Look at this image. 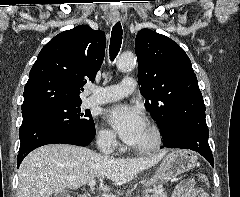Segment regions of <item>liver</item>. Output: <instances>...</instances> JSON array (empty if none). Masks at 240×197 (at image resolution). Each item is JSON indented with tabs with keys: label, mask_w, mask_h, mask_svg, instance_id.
<instances>
[{
	"label": "liver",
	"mask_w": 240,
	"mask_h": 197,
	"mask_svg": "<svg viewBox=\"0 0 240 197\" xmlns=\"http://www.w3.org/2000/svg\"><path fill=\"white\" fill-rule=\"evenodd\" d=\"M163 154L148 158H113L67 144H51L28 154L19 168L16 197H50L66 188L77 189L96 177L120 186L136 174L157 164ZM99 188H111L100 183Z\"/></svg>",
	"instance_id": "obj_1"
}]
</instances>
